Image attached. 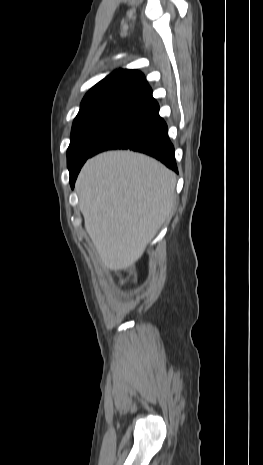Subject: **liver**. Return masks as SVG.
I'll use <instances>...</instances> for the list:
<instances>
[{"label":"liver","mask_w":263,"mask_h":465,"mask_svg":"<svg viewBox=\"0 0 263 465\" xmlns=\"http://www.w3.org/2000/svg\"><path fill=\"white\" fill-rule=\"evenodd\" d=\"M176 175L131 151L89 159L76 181L80 210L105 268L127 269L171 216Z\"/></svg>","instance_id":"obj_1"}]
</instances>
